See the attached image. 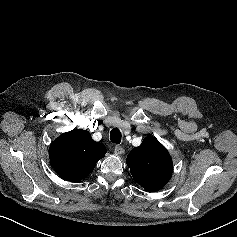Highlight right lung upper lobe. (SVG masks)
I'll return each mask as SVG.
<instances>
[{"instance_id": "obj_1", "label": "right lung upper lobe", "mask_w": 237, "mask_h": 237, "mask_svg": "<svg viewBox=\"0 0 237 237\" xmlns=\"http://www.w3.org/2000/svg\"><path fill=\"white\" fill-rule=\"evenodd\" d=\"M105 153V146L95 142L88 131L74 129L53 141L49 156L59 176L67 181L80 182L94 170Z\"/></svg>"}]
</instances>
